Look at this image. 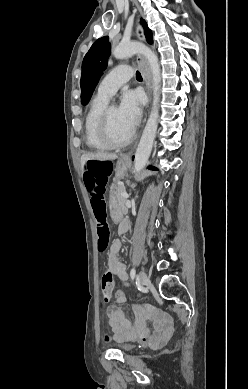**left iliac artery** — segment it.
Wrapping results in <instances>:
<instances>
[{"mask_svg": "<svg viewBox=\"0 0 248 389\" xmlns=\"http://www.w3.org/2000/svg\"><path fill=\"white\" fill-rule=\"evenodd\" d=\"M135 274H136V270L133 268V269L131 270V273H130L132 280H134Z\"/></svg>", "mask_w": 248, "mask_h": 389, "instance_id": "obj_1", "label": "left iliac artery"}]
</instances>
